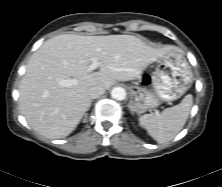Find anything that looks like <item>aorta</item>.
<instances>
[{"label":"aorta","instance_id":"762f6f07","mask_svg":"<svg viewBox=\"0 0 222 187\" xmlns=\"http://www.w3.org/2000/svg\"><path fill=\"white\" fill-rule=\"evenodd\" d=\"M111 96L116 100H124L126 97V91L122 87H115L111 91Z\"/></svg>","mask_w":222,"mask_h":187}]
</instances>
